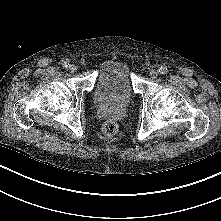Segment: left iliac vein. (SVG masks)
Segmentation results:
<instances>
[{
  "instance_id": "obj_1",
  "label": "left iliac vein",
  "mask_w": 221,
  "mask_h": 221,
  "mask_svg": "<svg viewBox=\"0 0 221 221\" xmlns=\"http://www.w3.org/2000/svg\"><path fill=\"white\" fill-rule=\"evenodd\" d=\"M158 75H159V71H158V70L152 69V70L150 71V76H151V78H156V77H158Z\"/></svg>"
}]
</instances>
